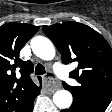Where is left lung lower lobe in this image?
<instances>
[{
    "instance_id": "1",
    "label": "left lung lower lobe",
    "mask_w": 112,
    "mask_h": 112,
    "mask_svg": "<svg viewBox=\"0 0 112 112\" xmlns=\"http://www.w3.org/2000/svg\"><path fill=\"white\" fill-rule=\"evenodd\" d=\"M107 106L94 103L73 102L69 109L61 112H104Z\"/></svg>"
}]
</instances>
